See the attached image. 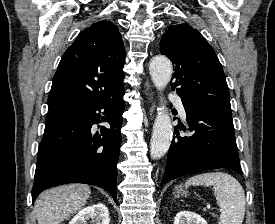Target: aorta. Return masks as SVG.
Segmentation results:
<instances>
[{
    "label": "aorta",
    "mask_w": 275,
    "mask_h": 224,
    "mask_svg": "<svg viewBox=\"0 0 275 224\" xmlns=\"http://www.w3.org/2000/svg\"><path fill=\"white\" fill-rule=\"evenodd\" d=\"M149 70L154 85L158 90H162L171 79L173 67L166 57L156 56L151 60ZM157 111L150 141V155L153 159H159L166 154L173 136L171 118L166 107L161 105Z\"/></svg>",
    "instance_id": "1"
}]
</instances>
